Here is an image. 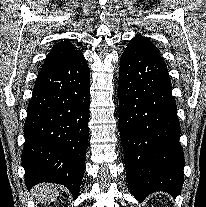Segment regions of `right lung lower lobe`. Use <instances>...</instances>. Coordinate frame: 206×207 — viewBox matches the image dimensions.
<instances>
[{
  "instance_id": "obj_1",
  "label": "right lung lower lobe",
  "mask_w": 206,
  "mask_h": 207,
  "mask_svg": "<svg viewBox=\"0 0 206 207\" xmlns=\"http://www.w3.org/2000/svg\"><path fill=\"white\" fill-rule=\"evenodd\" d=\"M90 72L84 56L38 74L24 125L27 188L62 184L76 199L89 135Z\"/></svg>"
}]
</instances>
